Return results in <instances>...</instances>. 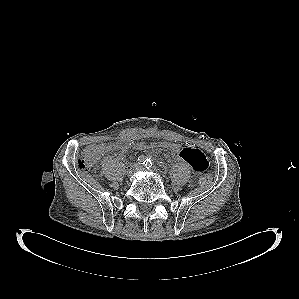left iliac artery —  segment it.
I'll return each instance as SVG.
<instances>
[{"label":"left iliac artery","instance_id":"44dca946","mask_svg":"<svg viewBox=\"0 0 299 299\" xmlns=\"http://www.w3.org/2000/svg\"><path fill=\"white\" fill-rule=\"evenodd\" d=\"M152 165H153L152 161L150 159H148L147 162H146V165H145L146 168L149 169V168L152 167Z\"/></svg>","mask_w":299,"mask_h":299}]
</instances>
